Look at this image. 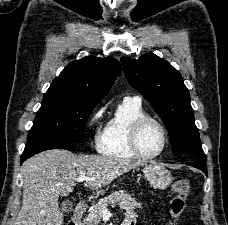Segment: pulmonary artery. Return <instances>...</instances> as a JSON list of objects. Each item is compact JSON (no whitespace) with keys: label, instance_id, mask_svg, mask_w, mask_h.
<instances>
[{"label":"pulmonary artery","instance_id":"pulmonary-artery-1","mask_svg":"<svg viewBox=\"0 0 228 225\" xmlns=\"http://www.w3.org/2000/svg\"><path fill=\"white\" fill-rule=\"evenodd\" d=\"M124 100H130V101H133V102H136V103H139L141 104L142 102V98L138 95H134V96H126L124 98Z\"/></svg>","mask_w":228,"mask_h":225}]
</instances>
